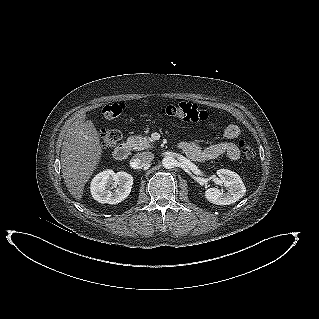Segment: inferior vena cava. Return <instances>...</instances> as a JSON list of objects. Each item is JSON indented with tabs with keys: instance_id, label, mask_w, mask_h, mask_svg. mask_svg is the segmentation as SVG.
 I'll list each match as a JSON object with an SVG mask.
<instances>
[{
	"instance_id": "obj_1",
	"label": "inferior vena cava",
	"mask_w": 319,
	"mask_h": 319,
	"mask_svg": "<svg viewBox=\"0 0 319 319\" xmlns=\"http://www.w3.org/2000/svg\"><path fill=\"white\" fill-rule=\"evenodd\" d=\"M153 159H154V154L149 151L137 153L134 155L133 165L135 167L146 165V164H149Z\"/></svg>"
}]
</instances>
